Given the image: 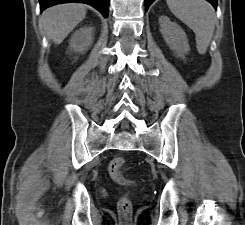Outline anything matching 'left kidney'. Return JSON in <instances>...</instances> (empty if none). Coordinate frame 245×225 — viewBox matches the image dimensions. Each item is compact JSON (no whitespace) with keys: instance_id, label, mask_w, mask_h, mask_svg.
I'll return each instance as SVG.
<instances>
[{"instance_id":"obj_1","label":"left kidney","mask_w":245,"mask_h":225,"mask_svg":"<svg viewBox=\"0 0 245 225\" xmlns=\"http://www.w3.org/2000/svg\"><path fill=\"white\" fill-rule=\"evenodd\" d=\"M160 32L171 50L181 57L190 50L184 30L167 16L159 18Z\"/></svg>"}]
</instances>
